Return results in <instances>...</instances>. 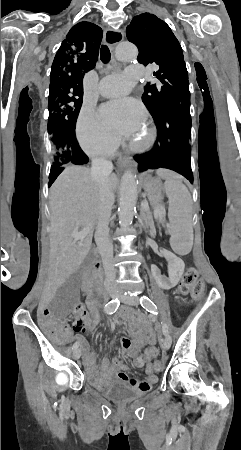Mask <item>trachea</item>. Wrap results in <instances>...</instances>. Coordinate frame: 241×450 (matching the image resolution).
<instances>
[{
  "mask_svg": "<svg viewBox=\"0 0 241 450\" xmlns=\"http://www.w3.org/2000/svg\"><path fill=\"white\" fill-rule=\"evenodd\" d=\"M111 58V53L107 45H102L100 49V59L103 63H108Z\"/></svg>",
  "mask_w": 241,
  "mask_h": 450,
  "instance_id": "trachea-1",
  "label": "trachea"
}]
</instances>
